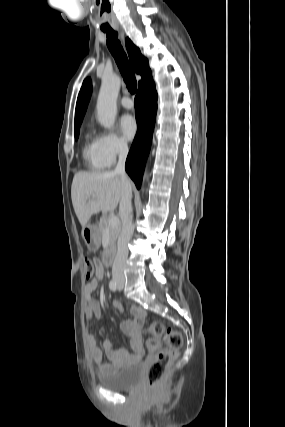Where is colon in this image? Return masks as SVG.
<instances>
[{"instance_id":"5ec220e1","label":"colon","mask_w":285,"mask_h":427,"mask_svg":"<svg viewBox=\"0 0 285 427\" xmlns=\"http://www.w3.org/2000/svg\"><path fill=\"white\" fill-rule=\"evenodd\" d=\"M85 275L87 279H92L95 275V262L86 258L84 261ZM149 337L146 340L147 350L154 354V360L147 371V383L150 386L156 385L164 376L172 359L182 346L181 333L172 327H165L160 321H153L148 328ZM160 340L164 343V348L159 349Z\"/></svg>"}]
</instances>
